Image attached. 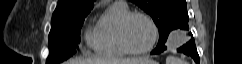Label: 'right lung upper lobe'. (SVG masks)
Wrapping results in <instances>:
<instances>
[{
  "instance_id": "cb5924a9",
  "label": "right lung upper lobe",
  "mask_w": 242,
  "mask_h": 64,
  "mask_svg": "<svg viewBox=\"0 0 242 64\" xmlns=\"http://www.w3.org/2000/svg\"><path fill=\"white\" fill-rule=\"evenodd\" d=\"M95 0H58L52 20H61L89 13Z\"/></svg>"
}]
</instances>
